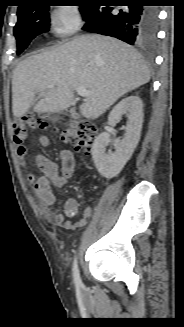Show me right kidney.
Here are the masks:
<instances>
[{"instance_id":"obj_1","label":"right kidney","mask_w":184,"mask_h":327,"mask_svg":"<svg viewBox=\"0 0 184 327\" xmlns=\"http://www.w3.org/2000/svg\"><path fill=\"white\" fill-rule=\"evenodd\" d=\"M122 115L127 116V125L124 137L114 142L115 152H105L110 142L108 132H103L96 137L92 148L94 164L98 172L107 179L120 173L140 140L143 123V103L140 97L129 96L122 99L110 112L109 124L115 126Z\"/></svg>"}]
</instances>
